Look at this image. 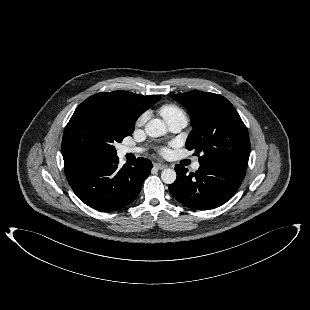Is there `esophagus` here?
<instances>
[{"label":"esophagus","instance_id":"1","mask_svg":"<svg viewBox=\"0 0 310 310\" xmlns=\"http://www.w3.org/2000/svg\"><path fill=\"white\" fill-rule=\"evenodd\" d=\"M154 167L157 168L158 170H163L167 166L165 164H161V163H154Z\"/></svg>","mask_w":310,"mask_h":310}]
</instances>
